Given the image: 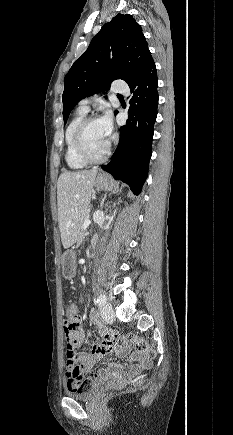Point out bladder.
Listing matches in <instances>:
<instances>
[{
  "mask_svg": "<svg viewBox=\"0 0 233 435\" xmlns=\"http://www.w3.org/2000/svg\"><path fill=\"white\" fill-rule=\"evenodd\" d=\"M101 383L92 384L89 389L83 391V392H75L71 390H66L64 394L68 397L75 398V399H92L95 394L96 390L101 386Z\"/></svg>",
  "mask_w": 233,
  "mask_h": 435,
  "instance_id": "1",
  "label": "bladder"
}]
</instances>
